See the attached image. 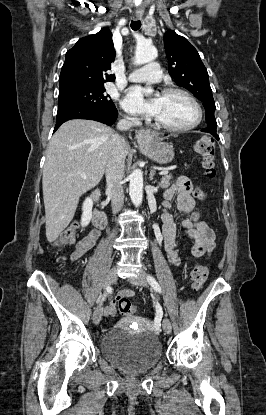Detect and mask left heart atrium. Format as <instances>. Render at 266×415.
Masks as SVG:
<instances>
[{"mask_svg": "<svg viewBox=\"0 0 266 415\" xmlns=\"http://www.w3.org/2000/svg\"><path fill=\"white\" fill-rule=\"evenodd\" d=\"M159 103L160 95L157 94L152 99H146L144 90L140 87H134L129 90L122 105L131 113L155 116L159 110Z\"/></svg>", "mask_w": 266, "mask_h": 415, "instance_id": "obj_1", "label": "left heart atrium"}]
</instances>
